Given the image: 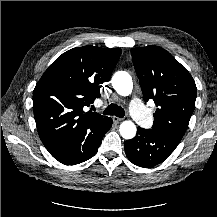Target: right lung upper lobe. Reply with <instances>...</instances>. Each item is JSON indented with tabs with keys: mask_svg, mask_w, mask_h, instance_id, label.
<instances>
[{
	"mask_svg": "<svg viewBox=\"0 0 217 217\" xmlns=\"http://www.w3.org/2000/svg\"><path fill=\"white\" fill-rule=\"evenodd\" d=\"M121 55L120 48L83 46L59 56L33 92L35 122L47 150L77 143L106 120L83 108L100 97Z\"/></svg>",
	"mask_w": 217,
	"mask_h": 217,
	"instance_id": "1",
	"label": "right lung upper lobe"
}]
</instances>
